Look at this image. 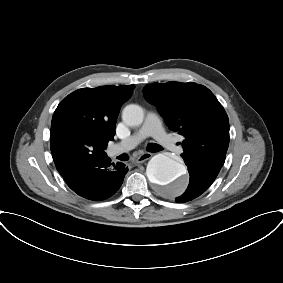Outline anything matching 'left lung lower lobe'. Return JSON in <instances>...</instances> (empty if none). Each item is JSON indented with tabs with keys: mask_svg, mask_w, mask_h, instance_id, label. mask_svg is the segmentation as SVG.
<instances>
[{
	"mask_svg": "<svg viewBox=\"0 0 283 283\" xmlns=\"http://www.w3.org/2000/svg\"><path fill=\"white\" fill-rule=\"evenodd\" d=\"M188 171L190 175L188 188L183 195L176 198L177 202H187L200 196L210 187L217 177L190 165H188Z\"/></svg>",
	"mask_w": 283,
	"mask_h": 283,
	"instance_id": "0a47b994",
	"label": "left lung lower lobe"
}]
</instances>
